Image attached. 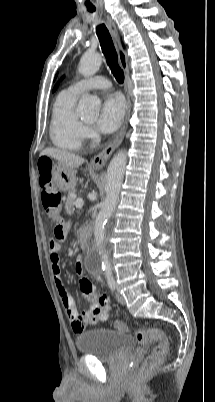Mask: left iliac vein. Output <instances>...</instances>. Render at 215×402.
<instances>
[{
	"instance_id": "obj_1",
	"label": "left iliac vein",
	"mask_w": 215,
	"mask_h": 402,
	"mask_svg": "<svg viewBox=\"0 0 215 402\" xmlns=\"http://www.w3.org/2000/svg\"><path fill=\"white\" fill-rule=\"evenodd\" d=\"M116 299L120 304H125V298L119 291L116 292Z\"/></svg>"
}]
</instances>
